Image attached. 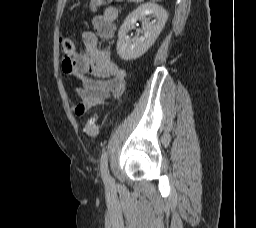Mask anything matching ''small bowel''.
I'll list each match as a JSON object with an SVG mask.
<instances>
[{"instance_id": "obj_1", "label": "small bowel", "mask_w": 256, "mask_h": 228, "mask_svg": "<svg viewBox=\"0 0 256 228\" xmlns=\"http://www.w3.org/2000/svg\"><path fill=\"white\" fill-rule=\"evenodd\" d=\"M118 9L109 6L93 19L94 32L83 34V51L72 57L64 54L63 71L77 82L75 93L79 102L73 107L76 116L105 103L111 96L118 97L125 88L126 71L112 59L109 51L100 49L97 37L108 41L115 34L114 22Z\"/></svg>"}]
</instances>
